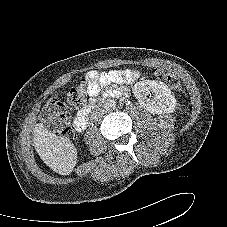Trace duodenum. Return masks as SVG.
I'll return each instance as SVG.
<instances>
[{
  "label": "duodenum",
  "mask_w": 227,
  "mask_h": 227,
  "mask_svg": "<svg viewBox=\"0 0 227 227\" xmlns=\"http://www.w3.org/2000/svg\"><path fill=\"white\" fill-rule=\"evenodd\" d=\"M98 106V104H94L92 106L86 107L82 109L74 120V126L78 131H84L88 124V118L90 113Z\"/></svg>",
  "instance_id": "duodenum-1"
}]
</instances>
